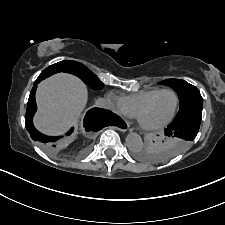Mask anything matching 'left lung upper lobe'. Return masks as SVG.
Wrapping results in <instances>:
<instances>
[{
  "mask_svg": "<svg viewBox=\"0 0 225 225\" xmlns=\"http://www.w3.org/2000/svg\"><path fill=\"white\" fill-rule=\"evenodd\" d=\"M160 84L168 85L177 92L180 102V109L176 116L192 110L203 109L202 96L195 86L181 79H167L161 81ZM176 144H185V149L190 144V141H186L179 137L166 136L156 150L142 153L140 157L147 161H164L178 154L174 149V145Z\"/></svg>",
  "mask_w": 225,
  "mask_h": 225,
  "instance_id": "obj_1",
  "label": "left lung upper lobe"
}]
</instances>
